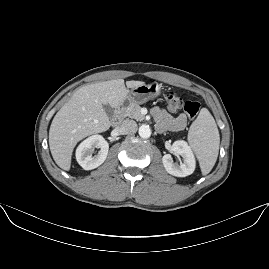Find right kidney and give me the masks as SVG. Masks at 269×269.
I'll use <instances>...</instances> for the list:
<instances>
[{"instance_id":"1","label":"right kidney","mask_w":269,"mask_h":269,"mask_svg":"<svg viewBox=\"0 0 269 269\" xmlns=\"http://www.w3.org/2000/svg\"><path fill=\"white\" fill-rule=\"evenodd\" d=\"M92 148H100L97 155H91ZM108 142L101 135H92L82 141L76 149V160L85 170H92L100 166L107 158Z\"/></svg>"}]
</instances>
